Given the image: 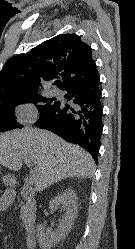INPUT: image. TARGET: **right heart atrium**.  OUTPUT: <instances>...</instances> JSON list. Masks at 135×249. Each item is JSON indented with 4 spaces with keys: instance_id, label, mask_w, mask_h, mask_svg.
Instances as JSON below:
<instances>
[{
    "instance_id": "obj_1",
    "label": "right heart atrium",
    "mask_w": 135,
    "mask_h": 249,
    "mask_svg": "<svg viewBox=\"0 0 135 249\" xmlns=\"http://www.w3.org/2000/svg\"><path fill=\"white\" fill-rule=\"evenodd\" d=\"M14 116L19 124L29 126L38 119L39 112L33 104L22 103L15 107Z\"/></svg>"
}]
</instances>
